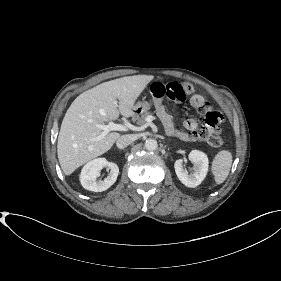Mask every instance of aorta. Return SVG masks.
Masks as SVG:
<instances>
[{
  "label": "aorta",
  "mask_w": 281,
  "mask_h": 281,
  "mask_svg": "<svg viewBox=\"0 0 281 281\" xmlns=\"http://www.w3.org/2000/svg\"><path fill=\"white\" fill-rule=\"evenodd\" d=\"M158 147V143L155 139L149 138L145 141V148L149 151H153Z\"/></svg>",
  "instance_id": "obj_1"
}]
</instances>
